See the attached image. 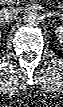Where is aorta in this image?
<instances>
[{"instance_id":"1","label":"aorta","mask_w":63,"mask_h":107,"mask_svg":"<svg viewBox=\"0 0 63 107\" xmlns=\"http://www.w3.org/2000/svg\"><path fill=\"white\" fill-rule=\"evenodd\" d=\"M23 21L28 26H36L39 23V15L36 11H28L24 14Z\"/></svg>"}]
</instances>
